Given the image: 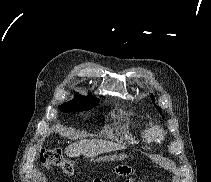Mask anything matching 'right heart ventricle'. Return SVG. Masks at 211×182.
Listing matches in <instances>:
<instances>
[{
    "mask_svg": "<svg viewBox=\"0 0 211 182\" xmlns=\"http://www.w3.org/2000/svg\"><path fill=\"white\" fill-rule=\"evenodd\" d=\"M147 129L148 125L145 123L131 122L125 127L124 135L128 140L134 143L146 142L149 141L147 139Z\"/></svg>",
    "mask_w": 211,
    "mask_h": 182,
    "instance_id": "right-heart-ventricle-1",
    "label": "right heart ventricle"
}]
</instances>
